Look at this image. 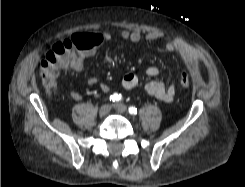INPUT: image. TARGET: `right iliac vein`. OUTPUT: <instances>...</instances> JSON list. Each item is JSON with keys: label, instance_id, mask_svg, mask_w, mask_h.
I'll list each match as a JSON object with an SVG mask.
<instances>
[{"label": "right iliac vein", "instance_id": "63e3f726", "mask_svg": "<svg viewBox=\"0 0 245 187\" xmlns=\"http://www.w3.org/2000/svg\"><path fill=\"white\" fill-rule=\"evenodd\" d=\"M111 106L109 104H104L103 106H101V108L99 109V115L100 116H105L110 112Z\"/></svg>", "mask_w": 245, "mask_h": 187}]
</instances>
